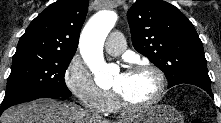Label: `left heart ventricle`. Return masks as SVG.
I'll return each instance as SVG.
<instances>
[{
	"mask_svg": "<svg viewBox=\"0 0 221 123\" xmlns=\"http://www.w3.org/2000/svg\"><path fill=\"white\" fill-rule=\"evenodd\" d=\"M157 87L154 74L145 70L119 73L112 83V88L119 91L132 103H145L151 100Z\"/></svg>",
	"mask_w": 221,
	"mask_h": 123,
	"instance_id": "b2bd125f",
	"label": "left heart ventricle"
}]
</instances>
